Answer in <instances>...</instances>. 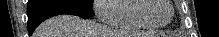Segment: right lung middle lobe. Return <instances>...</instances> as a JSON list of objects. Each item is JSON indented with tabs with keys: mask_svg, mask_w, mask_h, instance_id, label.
<instances>
[{
	"mask_svg": "<svg viewBox=\"0 0 219 37\" xmlns=\"http://www.w3.org/2000/svg\"><path fill=\"white\" fill-rule=\"evenodd\" d=\"M82 1L89 3V4H92V0H82Z\"/></svg>",
	"mask_w": 219,
	"mask_h": 37,
	"instance_id": "obj_1",
	"label": "right lung middle lobe"
}]
</instances>
